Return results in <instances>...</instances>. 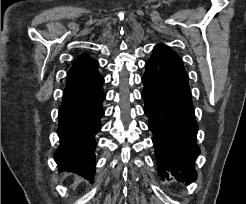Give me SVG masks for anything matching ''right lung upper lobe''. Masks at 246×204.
Listing matches in <instances>:
<instances>
[{"label": "right lung upper lobe", "mask_w": 246, "mask_h": 204, "mask_svg": "<svg viewBox=\"0 0 246 204\" xmlns=\"http://www.w3.org/2000/svg\"><path fill=\"white\" fill-rule=\"evenodd\" d=\"M80 59H92V58L87 54H83Z\"/></svg>", "instance_id": "cb5924a9"}]
</instances>
